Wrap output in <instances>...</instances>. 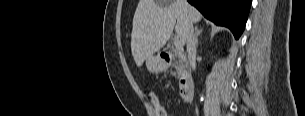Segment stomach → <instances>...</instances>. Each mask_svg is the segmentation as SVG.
<instances>
[{"label":"stomach","mask_w":305,"mask_h":116,"mask_svg":"<svg viewBox=\"0 0 305 116\" xmlns=\"http://www.w3.org/2000/svg\"><path fill=\"white\" fill-rule=\"evenodd\" d=\"M147 69L152 73H159L167 68V64L160 55H151L146 59Z\"/></svg>","instance_id":"0dacf381"}]
</instances>
